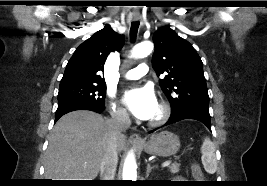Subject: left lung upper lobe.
Masks as SVG:
<instances>
[{"label": "left lung upper lobe", "instance_id": "left-lung-upper-lobe-1", "mask_svg": "<svg viewBox=\"0 0 267 186\" xmlns=\"http://www.w3.org/2000/svg\"><path fill=\"white\" fill-rule=\"evenodd\" d=\"M153 42L152 66L158 76L168 73L159 84L171 103L172 113L188 108L208 110L203 63L193 46L169 27L157 30Z\"/></svg>", "mask_w": 267, "mask_h": 186}]
</instances>
